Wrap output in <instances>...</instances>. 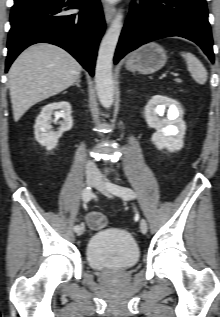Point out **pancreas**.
Listing matches in <instances>:
<instances>
[{"label":"pancreas","instance_id":"cf45deb5","mask_svg":"<svg viewBox=\"0 0 220 317\" xmlns=\"http://www.w3.org/2000/svg\"><path fill=\"white\" fill-rule=\"evenodd\" d=\"M176 82H180V80H176Z\"/></svg>","mask_w":220,"mask_h":317}]
</instances>
